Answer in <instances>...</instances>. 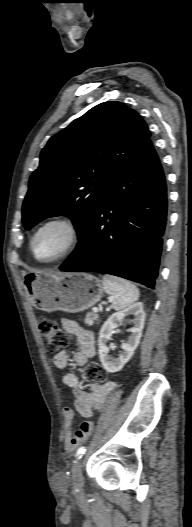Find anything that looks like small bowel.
<instances>
[{"label": "small bowel", "instance_id": "1", "mask_svg": "<svg viewBox=\"0 0 192 527\" xmlns=\"http://www.w3.org/2000/svg\"><path fill=\"white\" fill-rule=\"evenodd\" d=\"M61 323L66 331L76 337L79 344V349L73 355L75 364L78 366H84L88 359L95 355V340L93 332L84 329L71 319L63 318ZM53 362L58 369H65L69 364V354L65 350H60L54 355ZM62 380L72 391L75 398V410L81 416L86 418L91 417L95 410L102 407L108 394L117 386L114 381H108L101 385L92 384L90 386V391L88 392L82 387L81 381L75 373H66ZM63 413L64 448L66 451L72 452L87 439L93 429V422H83L80 429L73 433L75 411L71 408H65Z\"/></svg>", "mask_w": 192, "mask_h": 527}]
</instances>
